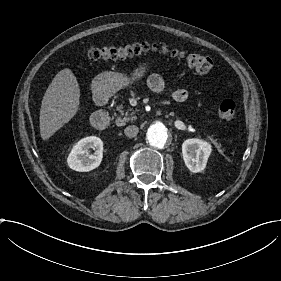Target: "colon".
<instances>
[{"instance_id": "1", "label": "colon", "mask_w": 281, "mask_h": 281, "mask_svg": "<svg viewBox=\"0 0 281 281\" xmlns=\"http://www.w3.org/2000/svg\"><path fill=\"white\" fill-rule=\"evenodd\" d=\"M158 55L173 61H184L198 72L207 74L212 69V60L198 52H186L167 45L157 43H130L124 45L97 46L87 51L88 59L100 61L106 59L126 60L146 55ZM218 117L221 121H232L235 118V104L231 100L219 103Z\"/></svg>"}]
</instances>
